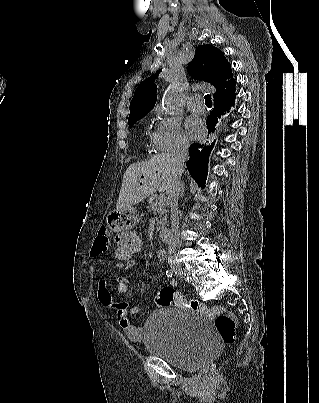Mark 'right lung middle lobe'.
<instances>
[{"mask_svg":"<svg viewBox=\"0 0 319 403\" xmlns=\"http://www.w3.org/2000/svg\"><path fill=\"white\" fill-rule=\"evenodd\" d=\"M142 117L136 118V119H130L128 120L129 126H132L133 123H135L137 120L141 119Z\"/></svg>","mask_w":319,"mask_h":403,"instance_id":"dd1d6c3e","label":"right lung middle lobe"}]
</instances>
